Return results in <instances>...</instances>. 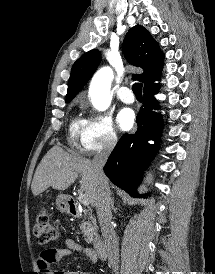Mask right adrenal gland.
<instances>
[{
    "label": "right adrenal gland",
    "mask_w": 215,
    "mask_h": 274,
    "mask_svg": "<svg viewBox=\"0 0 215 274\" xmlns=\"http://www.w3.org/2000/svg\"><path fill=\"white\" fill-rule=\"evenodd\" d=\"M111 206H112V209H115V207H114V199H112V201H111Z\"/></svg>",
    "instance_id": "obj_1"
}]
</instances>
